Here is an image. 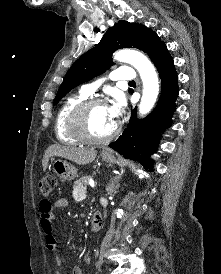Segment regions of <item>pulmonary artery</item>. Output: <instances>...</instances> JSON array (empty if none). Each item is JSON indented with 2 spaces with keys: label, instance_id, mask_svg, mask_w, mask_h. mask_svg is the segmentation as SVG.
Instances as JSON below:
<instances>
[{
  "label": "pulmonary artery",
  "instance_id": "pulmonary-artery-1",
  "mask_svg": "<svg viewBox=\"0 0 221 274\" xmlns=\"http://www.w3.org/2000/svg\"><path fill=\"white\" fill-rule=\"evenodd\" d=\"M136 77L135 71L131 67H120L116 69L111 78L116 81H132ZM98 83H89L82 86V91L88 95H92L98 88Z\"/></svg>",
  "mask_w": 221,
  "mask_h": 274
}]
</instances>
